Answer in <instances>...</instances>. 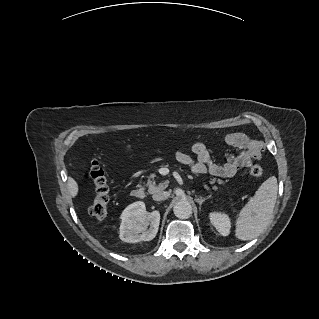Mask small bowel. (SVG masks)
<instances>
[{"label":"small bowel","mask_w":319,"mask_h":319,"mask_svg":"<svg viewBox=\"0 0 319 319\" xmlns=\"http://www.w3.org/2000/svg\"><path fill=\"white\" fill-rule=\"evenodd\" d=\"M225 143L238 152H229L224 164H216L211 156L208 147L202 142H196L192 145L194 157L184 152H176V160L188 166L195 174L205 172L220 178H232L237 171L249 167L254 160L261 158L262 146L256 140L241 133H232L226 137ZM131 151V148H127Z\"/></svg>","instance_id":"1"}]
</instances>
